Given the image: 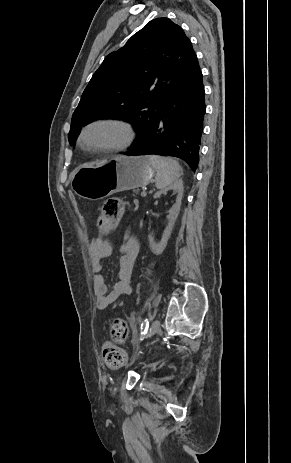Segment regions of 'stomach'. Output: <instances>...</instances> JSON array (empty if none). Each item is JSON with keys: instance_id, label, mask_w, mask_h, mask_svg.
<instances>
[{"instance_id": "obj_1", "label": "stomach", "mask_w": 291, "mask_h": 463, "mask_svg": "<svg viewBox=\"0 0 291 463\" xmlns=\"http://www.w3.org/2000/svg\"><path fill=\"white\" fill-rule=\"evenodd\" d=\"M153 176L154 168L148 157L120 156L80 165L73 171L70 183L78 196L99 200L116 192L146 186Z\"/></svg>"}]
</instances>
